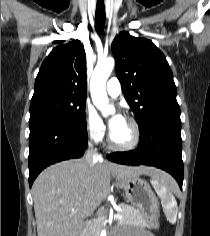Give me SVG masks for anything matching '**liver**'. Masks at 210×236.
<instances>
[{
	"instance_id": "obj_1",
	"label": "liver",
	"mask_w": 210,
	"mask_h": 236,
	"mask_svg": "<svg viewBox=\"0 0 210 236\" xmlns=\"http://www.w3.org/2000/svg\"><path fill=\"white\" fill-rule=\"evenodd\" d=\"M143 174L173 181L154 167L109 162L88 165L85 157L51 165L32 186L38 236H78L88 213L109 195L111 175L123 188V180Z\"/></svg>"
}]
</instances>
